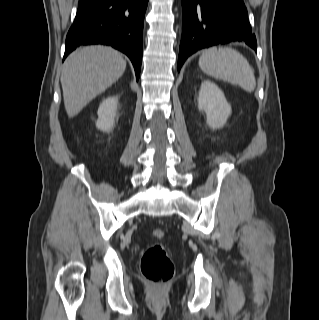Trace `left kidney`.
Listing matches in <instances>:
<instances>
[{
    "mask_svg": "<svg viewBox=\"0 0 319 320\" xmlns=\"http://www.w3.org/2000/svg\"><path fill=\"white\" fill-rule=\"evenodd\" d=\"M198 109L206 113L207 124L212 129L223 127L232 112L224 93L215 83L209 80L201 83Z\"/></svg>",
    "mask_w": 319,
    "mask_h": 320,
    "instance_id": "1",
    "label": "left kidney"
}]
</instances>
